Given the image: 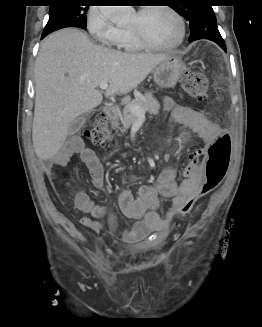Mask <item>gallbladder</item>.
I'll use <instances>...</instances> for the list:
<instances>
[{
    "mask_svg": "<svg viewBox=\"0 0 262 327\" xmlns=\"http://www.w3.org/2000/svg\"><path fill=\"white\" fill-rule=\"evenodd\" d=\"M85 122H86V117L83 115L75 118L69 126V131H68L69 135H73L77 133L84 126Z\"/></svg>",
    "mask_w": 262,
    "mask_h": 327,
    "instance_id": "gallbladder-1",
    "label": "gallbladder"
}]
</instances>
